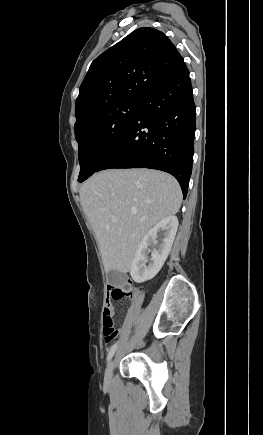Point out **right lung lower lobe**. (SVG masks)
I'll use <instances>...</instances> for the list:
<instances>
[{"label": "right lung lower lobe", "instance_id": "98d812e1", "mask_svg": "<svg viewBox=\"0 0 263 435\" xmlns=\"http://www.w3.org/2000/svg\"><path fill=\"white\" fill-rule=\"evenodd\" d=\"M195 104L184 64L152 90L118 144L96 172L110 168H151L172 174L183 197L192 172Z\"/></svg>", "mask_w": 263, "mask_h": 435}]
</instances>
